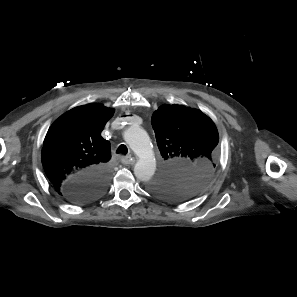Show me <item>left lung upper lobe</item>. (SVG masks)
Instances as JSON below:
<instances>
[{"mask_svg":"<svg viewBox=\"0 0 297 297\" xmlns=\"http://www.w3.org/2000/svg\"><path fill=\"white\" fill-rule=\"evenodd\" d=\"M163 158L160 175L149 190L170 201L181 202L200 192L211 179L218 158V131L198 110L163 105L151 119Z\"/></svg>","mask_w":297,"mask_h":297,"instance_id":"left-lung-upper-lobe-1","label":"left lung upper lobe"}]
</instances>
